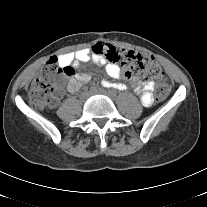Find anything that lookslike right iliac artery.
<instances>
[{
	"label": "right iliac artery",
	"instance_id": "right-iliac-artery-1",
	"mask_svg": "<svg viewBox=\"0 0 207 207\" xmlns=\"http://www.w3.org/2000/svg\"><path fill=\"white\" fill-rule=\"evenodd\" d=\"M102 85H103L104 87H110V86H111L109 82L104 81V80L102 81Z\"/></svg>",
	"mask_w": 207,
	"mask_h": 207
}]
</instances>
